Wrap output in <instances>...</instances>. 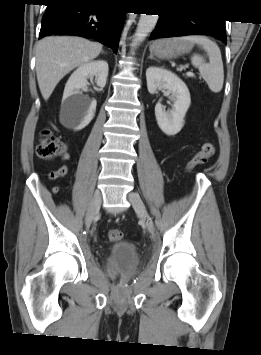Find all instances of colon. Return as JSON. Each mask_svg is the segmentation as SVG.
Here are the masks:
<instances>
[{
  "instance_id": "colon-1",
  "label": "colon",
  "mask_w": 261,
  "mask_h": 355,
  "mask_svg": "<svg viewBox=\"0 0 261 355\" xmlns=\"http://www.w3.org/2000/svg\"><path fill=\"white\" fill-rule=\"evenodd\" d=\"M67 145L53 131L46 129L42 132L40 142L36 146V153L44 160H54L65 155ZM215 153V146L211 142L205 143L193 158L188 162L187 169L193 170L197 166L205 164ZM58 190V188L56 189ZM122 231L110 229L107 238L110 242H117L122 238Z\"/></svg>"
}]
</instances>
